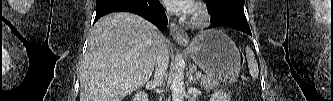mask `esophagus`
<instances>
[{
    "mask_svg": "<svg viewBox=\"0 0 333 101\" xmlns=\"http://www.w3.org/2000/svg\"><path fill=\"white\" fill-rule=\"evenodd\" d=\"M170 34L173 39L182 46H186L189 42V37L187 33L179 29L174 22L170 24Z\"/></svg>",
    "mask_w": 333,
    "mask_h": 101,
    "instance_id": "1",
    "label": "esophagus"
}]
</instances>
